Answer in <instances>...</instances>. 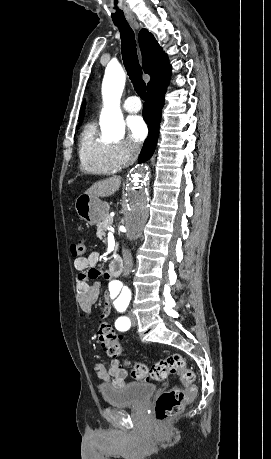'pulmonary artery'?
Returning a JSON list of instances; mask_svg holds the SVG:
<instances>
[{"mask_svg": "<svg viewBox=\"0 0 271 459\" xmlns=\"http://www.w3.org/2000/svg\"><path fill=\"white\" fill-rule=\"evenodd\" d=\"M123 108L127 112L137 113L142 109V103L137 96H131L124 102Z\"/></svg>", "mask_w": 271, "mask_h": 459, "instance_id": "1", "label": "pulmonary artery"}]
</instances>
